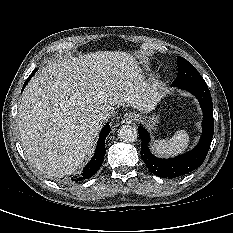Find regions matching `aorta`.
<instances>
[{"label":"aorta","instance_id":"aorta-1","mask_svg":"<svg viewBox=\"0 0 233 233\" xmlns=\"http://www.w3.org/2000/svg\"><path fill=\"white\" fill-rule=\"evenodd\" d=\"M138 136L137 130L135 127L130 125H123L118 130V137L126 143H133L136 141Z\"/></svg>","mask_w":233,"mask_h":233}]
</instances>
